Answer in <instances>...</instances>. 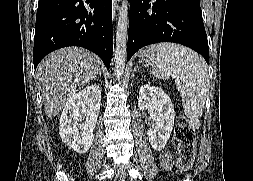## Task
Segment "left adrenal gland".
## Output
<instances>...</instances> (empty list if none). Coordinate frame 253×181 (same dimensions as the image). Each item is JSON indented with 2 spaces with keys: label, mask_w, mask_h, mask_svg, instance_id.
I'll list each match as a JSON object with an SVG mask.
<instances>
[{
  "label": "left adrenal gland",
  "mask_w": 253,
  "mask_h": 181,
  "mask_svg": "<svg viewBox=\"0 0 253 181\" xmlns=\"http://www.w3.org/2000/svg\"><path fill=\"white\" fill-rule=\"evenodd\" d=\"M134 71H139L138 67L134 69Z\"/></svg>",
  "instance_id": "obj_1"
}]
</instances>
